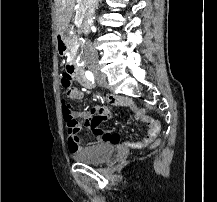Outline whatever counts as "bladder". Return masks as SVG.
Masks as SVG:
<instances>
[{"label":"bladder","instance_id":"bladder-1","mask_svg":"<svg viewBox=\"0 0 217 202\" xmlns=\"http://www.w3.org/2000/svg\"><path fill=\"white\" fill-rule=\"evenodd\" d=\"M113 143H99L94 146L84 148L74 155L75 159L88 163H99L106 158H111L114 152Z\"/></svg>","mask_w":217,"mask_h":202}]
</instances>
